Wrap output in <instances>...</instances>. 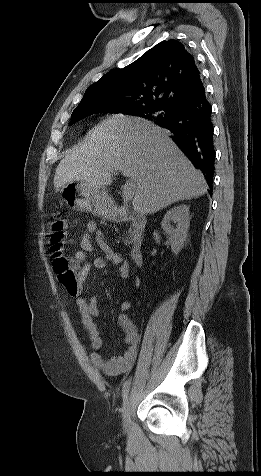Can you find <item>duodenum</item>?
I'll return each instance as SVG.
<instances>
[{
  "mask_svg": "<svg viewBox=\"0 0 261 476\" xmlns=\"http://www.w3.org/2000/svg\"><path fill=\"white\" fill-rule=\"evenodd\" d=\"M113 219L119 222H131L133 224L135 238L131 246L130 257L137 266H141L144 261L142 233L146 226V218L126 208H118L113 214Z\"/></svg>",
  "mask_w": 261,
  "mask_h": 476,
  "instance_id": "410a0bca",
  "label": "duodenum"
}]
</instances>
